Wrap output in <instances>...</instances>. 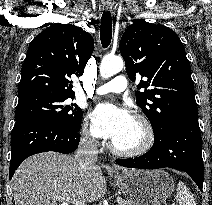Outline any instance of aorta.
I'll list each match as a JSON object with an SVG mask.
<instances>
[{"label": "aorta", "instance_id": "762f6f07", "mask_svg": "<svg viewBox=\"0 0 212 205\" xmlns=\"http://www.w3.org/2000/svg\"><path fill=\"white\" fill-rule=\"evenodd\" d=\"M124 66L123 59L118 56H105L100 64V76L109 78L119 73Z\"/></svg>", "mask_w": 212, "mask_h": 205}]
</instances>
